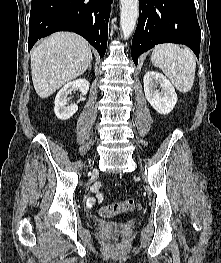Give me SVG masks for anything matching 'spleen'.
I'll use <instances>...</instances> for the list:
<instances>
[{"mask_svg":"<svg viewBox=\"0 0 221 263\" xmlns=\"http://www.w3.org/2000/svg\"><path fill=\"white\" fill-rule=\"evenodd\" d=\"M152 64L170 79L176 89L182 93L191 90L196 69L194 53L187 47L180 48L172 43L156 46L151 55Z\"/></svg>","mask_w":221,"mask_h":263,"instance_id":"3e777b00","label":"spleen"}]
</instances>
